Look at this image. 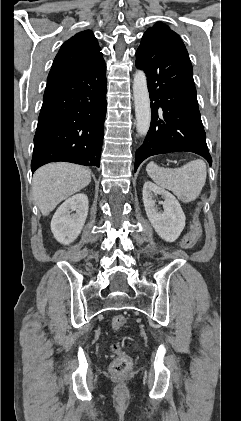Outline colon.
Returning a JSON list of instances; mask_svg holds the SVG:
<instances>
[{
  "label": "colon",
  "instance_id": "colon-1",
  "mask_svg": "<svg viewBox=\"0 0 241 421\" xmlns=\"http://www.w3.org/2000/svg\"><path fill=\"white\" fill-rule=\"evenodd\" d=\"M200 232L201 223L198 214H196L191 224L190 230L183 236L180 241V247L182 249H190L196 243ZM125 324L126 318L123 315H116L112 319L113 330H119ZM111 350L115 355V358L110 364V372L113 375L120 376L130 368L131 359L118 343H114L111 347Z\"/></svg>",
  "mask_w": 241,
  "mask_h": 421
}]
</instances>
